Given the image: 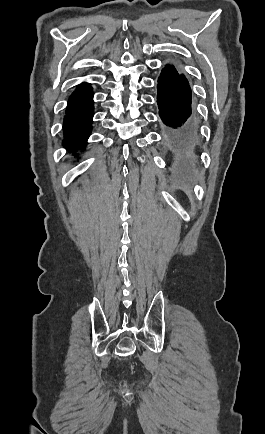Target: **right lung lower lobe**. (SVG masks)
<instances>
[{"instance_id": "right-lung-lower-lobe-1", "label": "right lung lower lobe", "mask_w": 265, "mask_h": 434, "mask_svg": "<svg viewBox=\"0 0 265 434\" xmlns=\"http://www.w3.org/2000/svg\"><path fill=\"white\" fill-rule=\"evenodd\" d=\"M93 92L89 83L77 86L71 94L64 118V146L83 149L92 129Z\"/></svg>"}]
</instances>
